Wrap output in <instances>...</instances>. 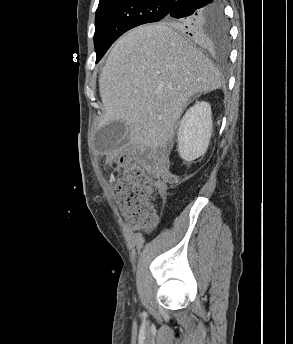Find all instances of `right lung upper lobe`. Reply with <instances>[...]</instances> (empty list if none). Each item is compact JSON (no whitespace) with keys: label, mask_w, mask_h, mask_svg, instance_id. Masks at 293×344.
<instances>
[{"label":"right lung upper lobe","mask_w":293,"mask_h":344,"mask_svg":"<svg viewBox=\"0 0 293 344\" xmlns=\"http://www.w3.org/2000/svg\"><path fill=\"white\" fill-rule=\"evenodd\" d=\"M102 1H106V0H100L99 2H102ZM170 1H173V2H174L175 0H170Z\"/></svg>","instance_id":"obj_1"}]
</instances>
